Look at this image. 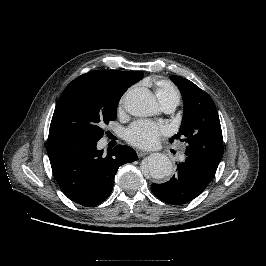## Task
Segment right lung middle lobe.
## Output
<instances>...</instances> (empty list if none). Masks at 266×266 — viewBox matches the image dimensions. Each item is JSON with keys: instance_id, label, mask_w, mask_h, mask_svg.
Masks as SVG:
<instances>
[{"instance_id": "dd1d6c3e", "label": "right lung middle lobe", "mask_w": 266, "mask_h": 266, "mask_svg": "<svg viewBox=\"0 0 266 266\" xmlns=\"http://www.w3.org/2000/svg\"><path fill=\"white\" fill-rule=\"evenodd\" d=\"M124 91L95 85L65 88L50 124L49 135H69L98 141L102 127L116 118L118 102Z\"/></svg>"}]
</instances>
